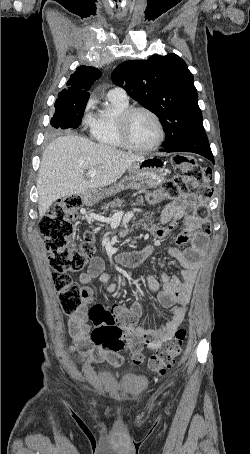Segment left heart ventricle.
Instances as JSON below:
<instances>
[{
    "mask_svg": "<svg viewBox=\"0 0 250 454\" xmlns=\"http://www.w3.org/2000/svg\"><path fill=\"white\" fill-rule=\"evenodd\" d=\"M132 142L139 147H148L158 138V129L155 121L146 113H136L129 124Z\"/></svg>",
    "mask_w": 250,
    "mask_h": 454,
    "instance_id": "left-heart-ventricle-1",
    "label": "left heart ventricle"
}]
</instances>
